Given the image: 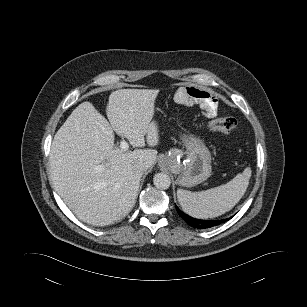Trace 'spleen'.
<instances>
[{"label": "spleen", "mask_w": 307, "mask_h": 307, "mask_svg": "<svg viewBox=\"0 0 307 307\" xmlns=\"http://www.w3.org/2000/svg\"><path fill=\"white\" fill-rule=\"evenodd\" d=\"M251 169L245 168L231 181L201 192L177 190L180 206L192 217L208 219L230 211L242 198L249 184Z\"/></svg>", "instance_id": "1"}]
</instances>
